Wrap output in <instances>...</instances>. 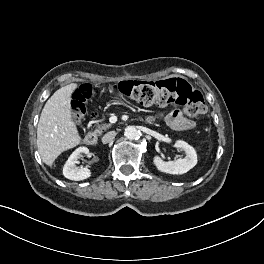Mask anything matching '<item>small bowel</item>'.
Instances as JSON below:
<instances>
[{
  "mask_svg": "<svg viewBox=\"0 0 264 264\" xmlns=\"http://www.w3.org/2000/svg\"><path fill=\"white\" fill-rule=\"evenodd\" d=\"M160 117L164 118L170 127L178 131L192 130L195 127V122L185 117L178 109H172L167 113L150 116L148 117V120L154 121Z\"/></svg>",
  "mask_w": 264,
  "mask_h": 264,
  "instance_id": "c3829d8e",
  "label": "small bowel"
}]
</instances>
